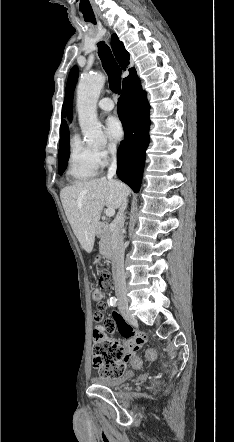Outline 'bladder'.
Listing matches in <instances>:
<instances>
[{
	"mask_svg": "<svg viewBox=\"0 0 234 442\" xmlns=\"http://www.w3.org/2000/svg\"><path fill=\"white\" fill-rule=\"evenodd\" d=\"M132 376L133 373L131 371H124L117 377H96L93 379V382L96 385L113 389L121 385L123 382L129 380Z\"/></svg>",
	"mask_w": 234,
	"mask_h": 442,
	"instance_id": "bladder-1",
	"label": "bladder"
}]
</instances>
